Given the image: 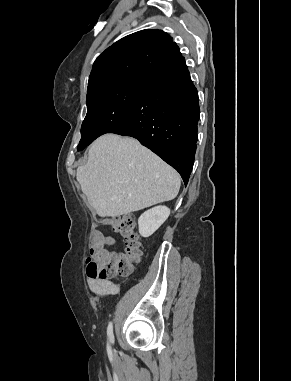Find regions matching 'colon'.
Returning a JSON list of instances; mask_svg holds the SVG:
<instances>
[{
	"instance_id": "1",
	"label": "colon",
	"mask_w": 291,
	"mask_h": 381,
	"mask_svg": "<svg viewBox=\"0 0 291 381\" xmlns=\"http://www.w3.org/2000/svg\"><path fill=\"white\" fill-rule=\"evenodd\" d=\"M103 222L123 238L124 249L114 252L106 247L92 248L87 261V275L101 279L116 275L128 276L144 255L142 243L135 232L134 219L132 216H116Z\"/></svg>"
}]
</instances>
